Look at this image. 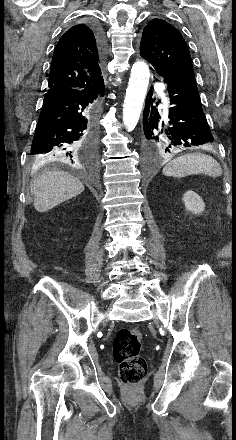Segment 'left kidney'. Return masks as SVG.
Wrapping results in <instances>:
<instances>
[{
	"label": "left kidney",
	"instance_id": "obj_1",
	"mask_svg": "<svg viewBox=\"0 0 236 440\" xmlns=\"http://www.w3.org/2000/svg\"><path fill=\"white\" fill-rule=\"evenodd\" d=\"M183 202L185 204L186 210L194 213L201 214L204 211L205 204L202 198L194 191H187L183 195Z\"/></svg>",
	"mask_w": 236,
	"mask_h": 440
}]
</instances>
